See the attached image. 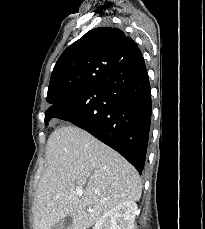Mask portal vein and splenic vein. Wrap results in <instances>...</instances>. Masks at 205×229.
Wrapping results in <instances>:
<instances>
[{"instance_id":"1","label":"portal vein and splenic vein","mask_w":205,"mask_h":229,"mask_svg":"<svg viewBox=\"0 0 205 229\" xmlns=\"http://www.w3.org/2000/svg\"><path fill=\"white\" fill-rule=\"evenodd\" d=\"M82 194H83L82 190H78V191H77V195H78L79 197H81Z\"/></svg>"}]
</instances>
